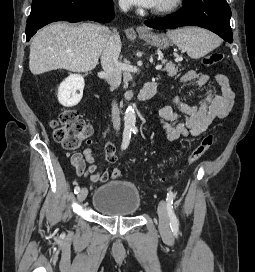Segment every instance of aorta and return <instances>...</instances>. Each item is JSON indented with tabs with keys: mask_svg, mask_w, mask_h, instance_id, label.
Returning a JSON list of instances; mask_svg holds the SVG:
<instances>
[{
	"mask_svg": "<svg viewBox=\"0 0 255 272\" xmlns=\"http://www.w3.org/2000/svg\"><path fill=\"white\" fill-rule=\"evenodd\" d=\"M136 124V114L133 105H129L124 115V127L125 129H133Z\"/></svg>",
	"mask_w": 255,
	"mask_h": 272,
	"instance_id": "aorta-1",
	"label": "aorta"
}]
</instances>
